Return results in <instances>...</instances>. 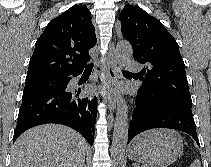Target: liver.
Returning a JSON list of instances; mask_svg holds the SVG:
<instances>
[{"mask_svg":"<svg viewBox=\"0 0 211 167\" xmlns=\"http://www.w3.org/2000/svg\"><path fill=\"white\" fill-rule=\"evenodd\" d=\"M86 140L73 129L44 124L23 133L11 150L10 167H84Z\"/></svg>","mask_w":211,"mask_h":167,"instance_id":"obj_1","label":"liver"}]
</instances>
